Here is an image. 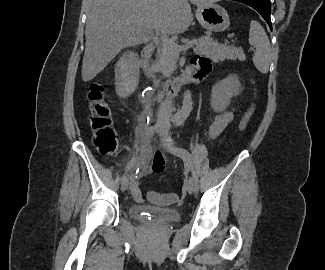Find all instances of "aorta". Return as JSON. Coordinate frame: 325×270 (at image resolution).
<instances>
[{
	"label": "aorta",
	"mask_w": 325,
	"mask_h": 270,
	"mask_svg": "<svg viewBox=\"0 0 325 270\" xmlns=\"http://www.w3.org/2000/svg\"><path fill=\"white\" fill-rule=\"evenodd\" d=\"M192 98L189 91H185L183 98V105L180 111L177 113V117L181 120L187 118L192 110Z\"/></svg>",
	"instance_id": "762f6f07"
}]
</instances>
